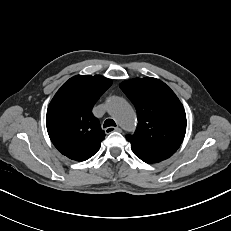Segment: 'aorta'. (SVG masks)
Instances as JSON below:
<instances>
[{
  "label": "aorta",
  "instance_id": "aorta-1",
  "mask_svg": "<svg viewBox=\"0 0 231 231\" xmlns=\"http://www.w3.org/2000/svg\"><path fill=\"white\" fill-rule=\"evenodd\" d=\"M109 113L127 130L135 124L134 113L129 103L121 97H111L107 102Z\"/></svg>",
  "mask_w": 231,
  "mask_h": 231
}]
</instances>
